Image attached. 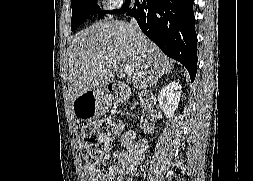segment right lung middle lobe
Masks as SVG:
<instances>
[{"instance_id": "1", "label": "right lung middle lobe", "mask_w": 253, "mask_h": 181, "mask_svg": "<svg viewBox=\"0 0 253 181\" xmlns=\"http://www.w3.org/2000/svg\"><path fill=\"white\" fill-rule=\"evenodd\" d=\"M129 2L130 0L126 1L122 9H124L129 4ZM103 13L105 12L100 9V7L97 5L96 0H72L71 30H75L91 14Z\"/></svg>"}]
</instances>
